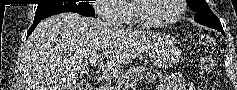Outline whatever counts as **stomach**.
<instances>
[{"label": "stomach", "instance_id": "obj_1", "mask_svg": "<svg viewBox=\"0 0 237 90\" xmlns=\"http://www.w3.org/2000/svg\"><path fill=\"white\" fill-rule=\"evenodd\" d=\"M151 56L153 57V61L156 66L167 68L178 61L180 51L173 46L154 48L151 51Z\"/></svg>", "mask_w": 237, "mask_h": 90}]
</instances>
